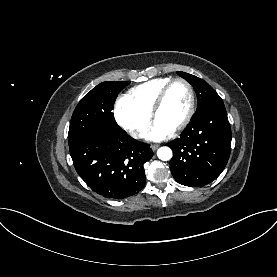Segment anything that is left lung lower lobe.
Wrapping results in <instances>:
<instances>
[{"mask_svg":"<svg viewBox=\"0 0 277 277\" xmlns=\"http://www.w3.org/2000/svg\"><path fill=\"white\" fill-rule=\"evenodd\" d=\"M231 139L222 100L198 112L180 138L167 143L173 150L170 169L174 179L189 187H201L214 181L228 162Z\"/></svg>","mask_w":277,"mask_h":277,"instance_id":"0a47b994","label":"left lung lower lobe"}]
</instances>
